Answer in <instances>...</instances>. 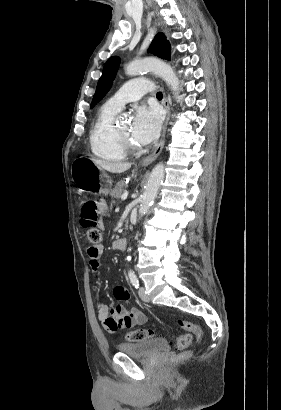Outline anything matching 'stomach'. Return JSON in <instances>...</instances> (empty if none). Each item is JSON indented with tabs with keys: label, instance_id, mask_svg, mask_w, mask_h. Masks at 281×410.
I'll return each mask as SVG.
<instances>
[{
	"label": "stomach",
	"instance_id": "stomach-1",
	"mask_svg": "<svg viewBox=\"0 0 281 410\" xmlns=\"http://www.w3.org/2000/svg\"><path fill=\"white\" fill-rule=\"evenodd\" d=\"M72 180L79 190L99 192L107 195L112 181L92 158L80 157L73 161L71 166Z\"/></svg>",
	"mask_w": 281,
	"mask_h": 410
}]
</instances>
